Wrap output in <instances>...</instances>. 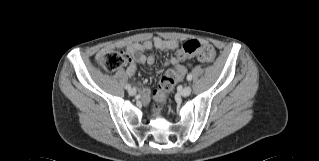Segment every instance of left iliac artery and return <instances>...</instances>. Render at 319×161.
<instances>
[{
  "label": "left iliac artery",
  "mask_w": 319,
  "mask_h": 161,
  "mask_svg": "<svg viewBox=\"0 0 319 161\" xmlns=\"http://www.w3.org/2000/svg\"><path fill=\"white\" fill-rule=\"evenodd\" d=\"M192 80V74H188L187 75V81H191Z\"/></svg>",
  "instance_id": "44dca946"
}]
</instances>
